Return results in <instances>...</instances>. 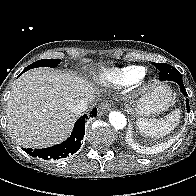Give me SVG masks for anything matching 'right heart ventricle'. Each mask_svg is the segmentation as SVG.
I'll use <instances>...</instances> for the list:
<instances>
[{
    "mask_svg": "<svg viewBox=\"0 0 196 196\" xmlns=\"http://www.w3.org/2000/svg\"><path fill=\"white\" fill-rule=\"evenodd\" d=\"M144 75V67L131 65L121 68L105 69L97 75V80L110 86L122 87L139 82Z\"/></svg>",
    "mask_w": 196,
    "mask_h": 196,
    "instance_id": "1",
    "label": "right heart ventricle"
}]
</instances>
